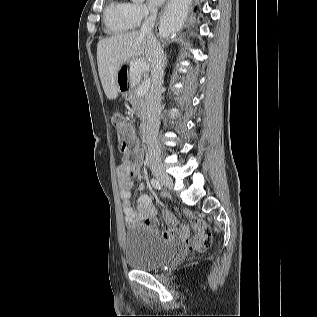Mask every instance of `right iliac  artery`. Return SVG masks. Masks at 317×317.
<instances>
[{"label": "right iliac artery", "mask_w": 317, "mask_h": 317, "mask_svg": "<svg viewBox=\"0 0 317 317\" xmlns=\"http://www.w3.org/2000/svg\"><path fill=\"white\" fill-rule=\"evenodd\" d=\"M151 185L155 188L160 190L162 188L161 183L159 182V180H157L156 178H152L151 179Z\"/></svg>", "instance_id": "1"}]
</instances>
